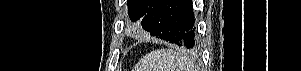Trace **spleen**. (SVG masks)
Returning <instances> with one entry per match:
<instances>
[{"label": "spleen", "mask_w": 301, "mask_h": 71, "mask_svg": "<svg viewBox=\"0 0 301 71\" xmlns=\"http://www.w3.org/2000/svg\"><path fill=\"white\" fill-rule=\"evenodd\" d=\"M194 63L173 49H158L147 54L136 71H193Z\"/></svg>", "instance_id": "1"}]
</instances>
